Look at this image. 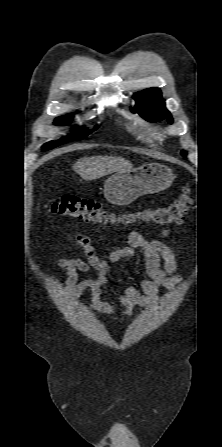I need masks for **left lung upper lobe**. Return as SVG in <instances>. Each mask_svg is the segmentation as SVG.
Instances as JSON below:
<instances>
[{
    "instance_id": "left-lung-upper-lobe-1",
    "label": "left lung upper lobe",
    "mask_w": 222,
    "mask_h": 447,
    "mask_svg": "<svg viewBox=\"0 0 222 447\" xmlns=\"http://www.w3.org/2000/svg\"><path fill=\"white\" fill-rule=\"evenodd\" d=\"M133 98L136 100V105L132 108L133 113H138L141 117L148 121H160L167 118L171 124L173 119L170 112L165 108L164 100L159 88H149L136 93ZM182 155L186 153L183 151Z\"/></svg>"
}]
</instances>
